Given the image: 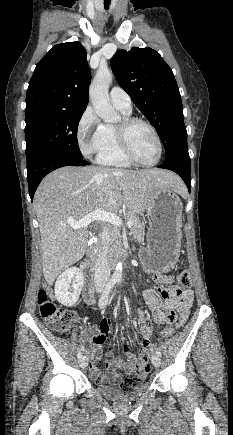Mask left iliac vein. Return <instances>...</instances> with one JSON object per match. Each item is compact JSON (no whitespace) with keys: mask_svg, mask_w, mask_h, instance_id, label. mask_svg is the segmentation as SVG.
<instances>
[{"mask_svg":"<svg viewBox=\"0 0 233 435\" xmlns=\"http://www.w3.org/2000/svg\"><path fill=\"white\" fill-rule=\"evenodd\" d=\"M151 362L155 367H159L161 364L160 356H158L157 354L153 355L151 358Z\"/></svg>","mask_w":233,"mask_h":435,"instance_id":"4c4485c4","label":"left iliac vein"}]
</instances>
